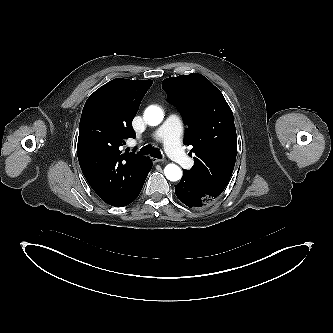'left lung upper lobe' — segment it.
<instances>
[{
	"label": "left lung upper lobe",
	"instance_id": "1",
	"mask_svg": "<svg viewBox=\"0 0 333 333\" xmlns=\"http://www.w3.org/2000/svg\"><path fill=\"white\" fill-rule=\"evenodd\" d=\"M168 102L178 107L189 126L185 139L195 154L186 172L198 186L219 196L232 175L237 155L233 113L222 93L196 73L163 81Z\"/></svg>",
	"mask_w": 333,
	"mask_h": 333
}]
</instances>
